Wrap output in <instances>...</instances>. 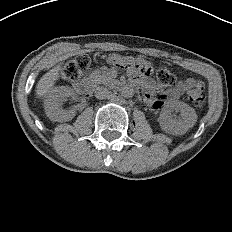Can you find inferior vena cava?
Wrapping results in <instances>:
<instances>
[{
    "label": "inferior vena cava",
    "mask_w": 232,
    "mask_h": 232,
    "mask_svg": "<svg viewBox=\"0 0 232 232\" xmlns=\"http://www.w3.org/2000/svg\"><path fill=\"white\" fill-rule=\"evenodd\" d=\"M110 96V92L106 87L99 86L95 89V97L97 99H106Z\"/></svg>",
    "instance_id": "obj_1"
}]
</instances>
